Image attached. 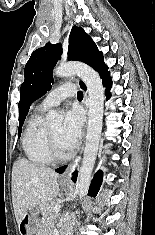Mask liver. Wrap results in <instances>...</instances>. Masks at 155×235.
I'll return each instance as SVG.
<instances>
[{
  "instance_id": "1",
  "label": "liver",
  "mask_w": 155,
  "mask_h": 235,
  "mask_svg": "<svg viewBox=\"0 0 155 235\" xmlns=\"http://www.w3.org/2000/svg\"><path fill=\"white\" fill-rule=\"evenodd\" d=\"M58 174L52 169L19 158L12 169V202L18 224L35 206L52 201L59 194Z\"/></svg>"
}]
</instances>
